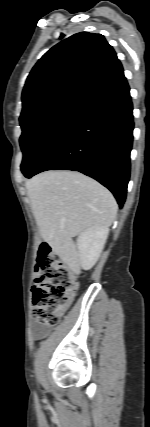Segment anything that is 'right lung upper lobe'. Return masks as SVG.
Returning a JSON list of instances; mask_svg holds the SVG:
<instances>
[{
    "instance_id": "1",
    "label": "right lung upper lobe",
    "mask_w": 150,
    "mask_h": 427,
    "mask_svg": "<svg viewBox=\"0 0 150 427\" xmlns=\"http://www.w3.org/2000/svg\"><path fill=\"white\" fill-rule=\"evenodd\" d=\"M124 76L114 49L104 36L80 32L52 47L30 72L21 116L43 106H80Z\"/></svg>"
}]
</instances>
